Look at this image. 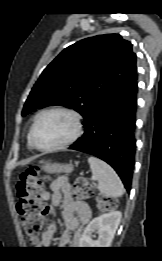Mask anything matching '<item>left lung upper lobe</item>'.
<instances>
[{"label":"left lung upper lobe","instance_id":"1","mask_svg":"<svg viewBox=\"0 0 162 261\" xmlns=\"http://www.w3.org/2000/svg\"><path fill=\"white\" fill-rule=\"evenodd\" d=\"M131 43L119 34L78 41L64 49L42 72L23 108L61 105L79 112L85 122L94 109L137 71Z\"/></svg>","mask_w":162,"mask_h":261}]
</instances>
